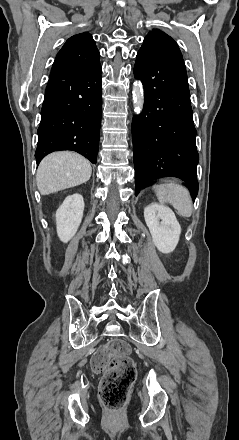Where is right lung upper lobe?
Wrapping results in <instances>:
<instances>
[{"instance_id": "right-lung-upper-lobe-1", "label": "right lung upper lobe", "mask_w": 239, "mask_h": 440, "mask_svg": "<svg viewBox=\"0 0 239 440\" xmlns=\"http://www.w3.org/2000/svg\"><path fill=\"white\" fill-rule=\"evenodd\" d=\"M100 53L88 32L70 37L58 52L53 71L85 72L98 66Z\"/></svg>"}]
</instances>
